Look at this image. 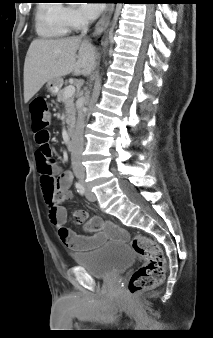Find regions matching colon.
I'll use <instances>...</instances> for the list:
<instances>
[{
	"instance_id": "obj_1",
	"label": "colon",
	"mask_w": 213,
	"mask_h": 338,
	"mask_svg": "<svg viewBox=\"0 0 213 338\" xmlns=\"http://www.w3.org/2000/svg\"><path fill=\"white\" fill-rule=\"evenodd\" d=\"M32 115V128L38 145H45L49 140L47 128L52 122V115L45 99L38 97L29 106ZM37 170L41 176V187L48 209L50 221L56 222V181L53 178L55 160L49 154H44L39 148L36 152ZM104 225L93 222L90 228H102ZM132 249L140 257V266L132 273L128 282V291L136 294L147 288L158 286L165 276V257L157 242L144 236L134 235L129 240Z\"/></svg>"
}]
</instances>
